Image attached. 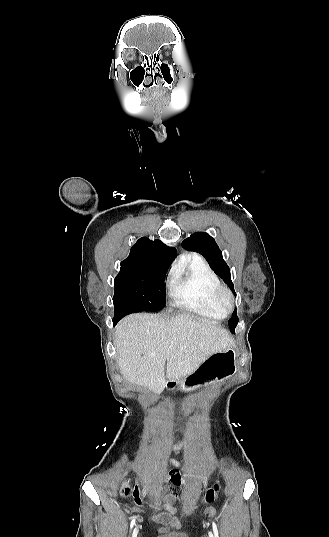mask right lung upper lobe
<instances>
[{
    "instance_id": "obj_1",
    "label": "right lung upper lobe",
    "mask_w": 329,
    "mask_h": 537,
    "mask_svg": "<svg viewBox=\"0 0 329 537\" xmlns=\"http://www.w3.org/2000/svg\"><path fill=\"white\" fill-rule=\"evenodd\" d=\"M176 255L175 248L166 246L160 240L152 241L142 237L132 246L129 256L121 262L120 271L151 265L169 268Z\"/></svg>"
}]
</instances>
